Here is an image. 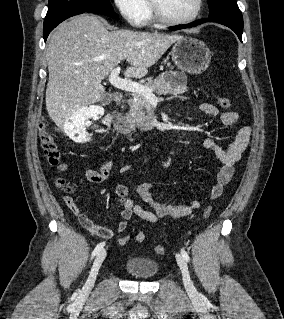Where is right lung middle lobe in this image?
I'll return each instance as SVG.
<instances>
[{"label": "right lung middle lobe", "mask_w": 284, "mask_h": 319, "mask_svg": "<svg viewBox=\"0 0 284 319\" xmlns=\"http://www.w3.org/2000/svg\"><path fill=\"white\" fill-rule=\"evenodd\" d=\"M112 9L109 0H49L44 24L69 13Z\"/></svg>", "instance_id": "dd1d6c3e"}]
</instances>
